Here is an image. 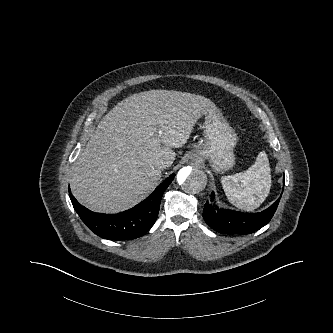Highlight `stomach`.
<instances>
[{
	"label": "stomach",
	"instance_id": "obj_1",
	"mask_svg": "<svg viewBox=\"0 0 333 333\" xmlns=\"http://www.w3.org/2000/svg\"><path fill=\"white\" fill-rule=\"evenodd\" d=\"M205 143L198 147L192 154V160H209L210 166L215 172L231 169L235 163L234 147L237 136L234 129L216 108L204 113Z\"/></svg>",
	"mask_w": 333,
	"mask_h": 333
}]
</instances>
